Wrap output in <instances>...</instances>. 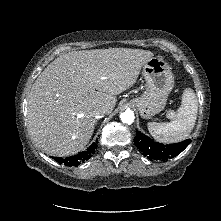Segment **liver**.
<instances>
[{"label": "liver", "instance_id": "6515ba94", "mask_svg": "<svg viewBox=\"0 0 221 221\" xmlns=\"http://www.w3.org/2000/svg\"><path fill=\"white\" fill-rule=\"evenodd\" d=\"M154 54L142 49L72 51L52 61L34 82L27 101V126L44 152L71 156L88 144L94 107L111 113L116 95L132 87Z\"/></svg>", "mask_w": 221, "mask_h": 221}]
</instances>
